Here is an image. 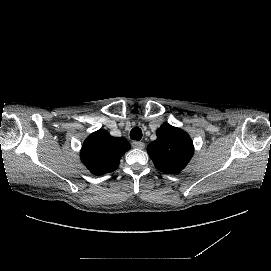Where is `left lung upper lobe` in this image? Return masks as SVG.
I'll return each mask as SVG.
<instances>
[{
	"label": "left lung upper lobe",
	"instance_id": "1",
	"mask_svg": "<svg viewBox=\"0 0 271 271\" xmlns=\"http://www.w3.org/2000/svg\"><path fill=\"white\" fill-rule=\"evenodd\" d=\"M147 152L159 171L176 174L191 160L194 146L184 130L165 123L157 130V139L148 145Z\"/></svg>",
	"mask_w": 271,
	"mask_h": 271
}]
</instances>
